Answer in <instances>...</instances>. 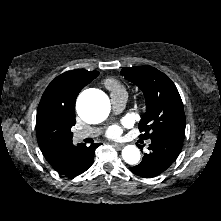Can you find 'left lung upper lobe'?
Returning a JSON list of instances; mask_svg holds the SVG:
<instances>
[{
	"instance_id": "left-lung-upper-lobe-1",
	"label": "left lung upper lobe",
	"mask_w": 221,
	"mask_h": 221,
	"mask_svg": "<svg viewBox=\"0 0 221 221\" xmlns=\"http://www.w3.org/2000/svg\"><path fill=\"white\" fill-rule=\"evenodd\" d=\"M121 74L141 88L146 99V112L139 122L143 139L173 137L184 140L185 114L175 84L154 67H124Z\"/></svg>"
}]
</instances>
